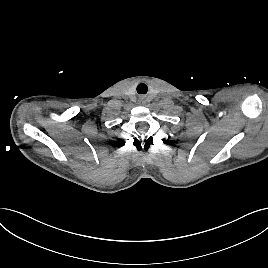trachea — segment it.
<instances>
[{
	"label": "trachea",
	"instance_id": "3493384b",
	"mask_svg": "<svg viewBox=\"0 0 268 268\" xmlns=\"http://www.w3.org/2000/svg\"><path fill=\"white\" fill-rule=\"evenodd\" d=\"M148 91V87L146 84L144 83H140L138 86H137V92L139 94H146Z\"/></svg>",
	"mask_w": 268,
	"mask_h": 268
}]
</instances>
